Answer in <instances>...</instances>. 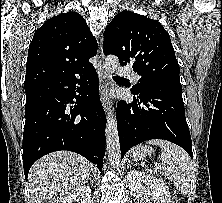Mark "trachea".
I'll use <instances>...</instances> for the list:
<instances>
[{
    "label": "trachea",
    "mask_w": 222,
    "mask_h": 203,
    "mask_svg": "<svg viewBox=\"0 0 222 203\" xmlns=\"http://www.w3.org/2000/svg\"><path fill=\"white\" fill-rule=\"evenodd\" d=\"M114 79H119V80H126L123 77H119V76H113Z\"/></svg>",
    "instance_id": "3493384b"
}]
</instances>
